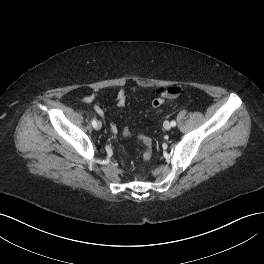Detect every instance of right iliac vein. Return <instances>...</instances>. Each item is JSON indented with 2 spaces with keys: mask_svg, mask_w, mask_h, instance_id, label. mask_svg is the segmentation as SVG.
I'll return each mask as SVG.
<instances>
[{
  "mask_svg": "<svg viewBox=\"0 0 264 264\" xmlns=\"http://www.w3.org/2000/svg\"><path fill=\"white\" fill-rule=\"evenodd\" d=\"M101 127H102V123H101L100 121H98L96 128H97L98 130H100Z\"/></svg>",
  "mask_w": 264,
  "mask_h": 264,
  "instance_id": "obj_1",
  "label": "right iliac vein"
}]
</instances>
